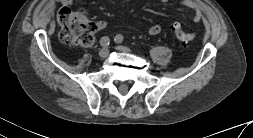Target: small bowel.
<instances>
[{"instance_id": "c3829d8e", "label": "small bowel", "mask_w": 253, "mask_h": 138, "mask_svg": "<svg viewBox=\"0 0 253 138\" xmlns=\"http://www.w3.org/2000/svg\"><path fill=\"white\" fill-rule=\"evenodd\" d=\"M57 2L61 3L64 6L70 7L73 5V0H56ZM170 0H159L160 3H167ZM185 7H190L194 10V22H198L202 18V11L200 7L195 4L194 2L183 0L180 2V4L177 7L178 11H184ZM96 26V31H104L107 29L108 25L105 21H96L94 22ZM178 25V23H174L173 26ZM162 32V26L159 24H153L147 28V33L150 35H158Z\"/></svg>"}]
</instances>
